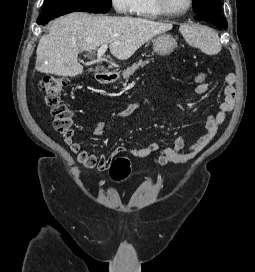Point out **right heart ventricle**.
<instances>
[{
    "label": "right heart ventricle",
    "instance_id": "e07e8e85",
    "mask_svg": "<svg viewBox=\"0 0 255 272\" xmlns=\"http://www.w3.org/2000/svg\"><path fill=\"white\" fill-rule=\"evenodd\" d=\"M138 16L147 18H158L162 14L157 9L154 0H136L135 1V11Z\"/></svg>",
    "mask_w": 255,
    "mask_h": 272
}]
</instances>
